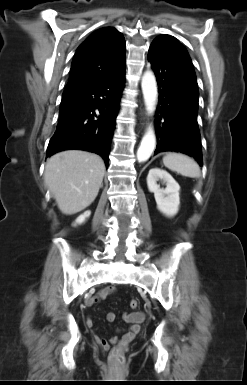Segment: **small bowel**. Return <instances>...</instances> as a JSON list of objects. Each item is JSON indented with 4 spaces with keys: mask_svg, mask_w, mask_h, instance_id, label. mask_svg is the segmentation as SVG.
Wrapping results in <instances>:
<instances>
[{
    "mask_svg": "<svg viewBox=\"0 0 247 385\" xmlns=\"http://www.w3.org/2000/svg\"><path fill=\"white\" fill-rule=\"evenodd\" d=\"M114 291L112 288H107L101 290L97 295L93 296L87 301V305H94L99 303L102 299L106 298L109 294ZM145 318V314L143 312H135V313H125L124 319L129 324L126 333L123 335L121 341H130L133 339L140 331V324L143 322ZM106 319L110 322L116 319V314L114 312H109L106 315ZM86 325L88 327H92L93 321L88 318L86 320ZM97 343L103 348L107 349L110 346V343L116 342L117 338L113 337L110 340L104 339L98 335L95 336Z\"/></svg>",
    "mask_w": 247,
    "mask_h": 385,
    "instance_id": "1",
    "label": "small bowel"
}]
</instances>
